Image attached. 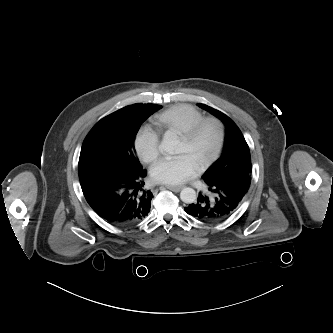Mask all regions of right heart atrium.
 Here are the masks:
<instances>
[{"instance_id": "d8ad5b80", "label": "right heart atrium", "mask_w": 333, "mask_h": 333, "mask_svg": "<svg viewBox=\"0 0 333 333\" xmlns=\"http://www.w3.org/2000/svg\"><path fill=\"white\" fill-rule=\"evenodd\" d=\"M135 150L144 163L156 161L159 156L158 134L149 128H142L135 138Z\"/></svg>"}]
</instances>
